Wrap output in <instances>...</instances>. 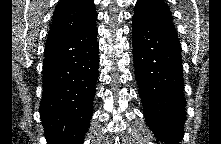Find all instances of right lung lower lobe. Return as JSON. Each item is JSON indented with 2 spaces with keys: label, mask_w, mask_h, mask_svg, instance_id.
<instances>
[{
  "label": "right lung lower lobe",
  "mask_w": 221,
  "mask_h": 144,
  "mask_svg": "<svg viewBox=\"0 0 221 144\" xmlns=\"http://www.w3.org/2000/svg\"><path fill=\"white\" fill-rule=\"evenodd\" d=\"M96 24L45 47L40 117L49 144H82L98 79Z\"/></svg>",
  "instance_id": "obj_1"
}]
</instances>
